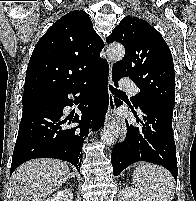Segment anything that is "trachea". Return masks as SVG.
Listing matches in <instances>:
<instances>
[{"label":"trachea","instance_id":"1","mask_svg":"<svg viewBox=\"0 0 196 201\" xmlns=\"http://www.w3.org/2000/svg\"><path fill=\"white\" fill-rule=\"evenodd\" d=\"M110 90L113 94H120V93H123L122 91L120 90H117L116 88H114L113 86H110Z\"/></svg>","mask_w":196,"mask_h":201}]
</instances>
